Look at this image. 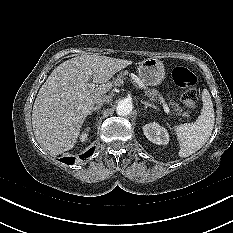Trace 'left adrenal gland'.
Listing matches in <instances>:
<instances>
[{"mask_svg":"<svg viewBox=\"0 0 233 233\" xmlns=\"http://www.w3.org/2000/svg\"><path fill=\"white\" fill-rule=\"evenodd\" d=\"M141 103L145 105V108H146V109H147L148 107H152V108H154V109H157V107H156L155 105L150 104V103H148V102H146V101H142V100H141Z\"/></svg>","mask_w":233,"mask_h":233,"instance_id":"1","label":"left adrenal gland"}]
</instances>
